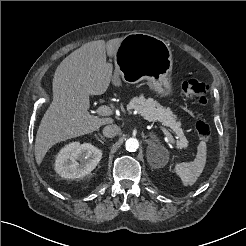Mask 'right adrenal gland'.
Listing matches in <instances>:
<instances>
[{
	"instance_id": "obj_1",
	"label": "right adrenal gland",
	"mask_w": 246,
	"mask_h": 246,
	"mask_svg": "<svg viewBox=\"0 0 246 246\" xmlns=\"http://www.w3.org/2000/svg\"><path fill=\"white\" fill-rule=\"evenodd\" d=\"M100 136L101 139H98L101 143H104L106 140L104 139V137L99 133L98 134Z\"/></svg>"
}]
</instances>
